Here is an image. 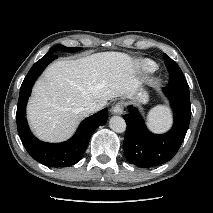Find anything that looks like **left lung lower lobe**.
<instances>
[{
  "label": "left lung lower lobe",
  "mask_w": 213,
  "mask_h": 213,
  "mask_svg": "<svg viewBox=\"0 0 213 213\" xmlns=\"http://www.w3.org/2000/svg\"><path fill=\"white\" fill-rule=\"evenodd\" d=\"M163 92L174 111V125L169 132L161 135L151 133L133 106H128L129 113L124 115L127 124L123 142L125 156L129 163L138 167L158 166L172 159L188 130L191 117L189 91L167 86Z\"/></svg>",
  "instance_id": "0a47b994"
}]
</instances>
